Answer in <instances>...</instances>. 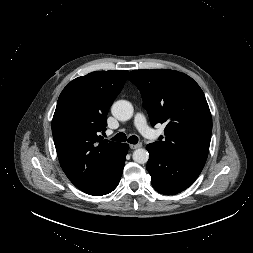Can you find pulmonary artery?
<instances>
[{"mask_svg":"<svg viewBox=\"0 0 253 253\" xmlns=\"http://www.w3.org/2000/svg\"><path fill=\"white\" fill-rule=\"evenodd\" d=\"M134 125L138 131L146 138H154L155 132L148 126L145 116L137 113L134 118Z\"/></svg>","mask_w":253,"mask_h":253,"instance_id":"pulmonary-artery-1","label":"pulmonary artery"}]
</instances>
